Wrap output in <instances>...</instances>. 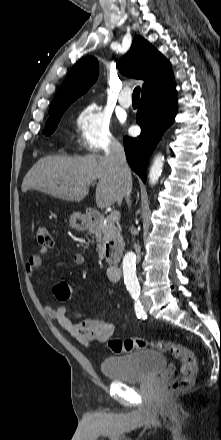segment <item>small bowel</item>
<instances>
[{
    "label": "small bowel",
    "instance_id": "obj_1",
    "mask_svg": "<svg viewBox=\"0 0 221 440\" xmlns=\"http://www.w3.org/2000/svg\"><path fill=\"white\" fill-rule=\"evenodd\" d=\"M48 251L46 248L40 250V254L30 256L26 265L25 272L30 280L35 279L36 271L42 267V255ZM73 264L80 266L84 263V257L80 253L73 255ZM43 309L47 315L56 321L62 330L66 331L72 338L85 347H91L94 344H102L107 342L114 333V325L105 322V318L87 319L83 318L79 321L69 319L64 307H52L47 303L43 304Z\"/></svg>",
    "mask_w": 221,
    "mask_h": 440
}]
</instances>
